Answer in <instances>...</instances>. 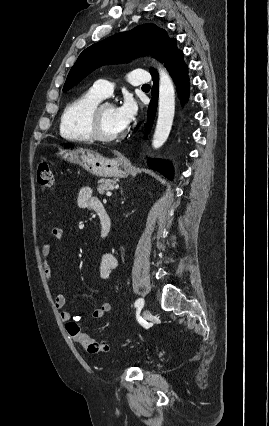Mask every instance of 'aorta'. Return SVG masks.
Segmentation results:
<instances>
[{"label": "aorta", "instance_id": "obj_1", "mask_svg": "<svg viewBox=\"0 0 269 426\" xmlns=\"http://www.w3.org/2000/svg\"><path fill=\"white\" fill-rule=\"evenodd\" d=\"M158 119L152 145L160 148L168 139L175 113V89L173 81L163 67L159 66Z\"/></svg>", "mask_w": 269, "mask_h": 426}]
</instances>
